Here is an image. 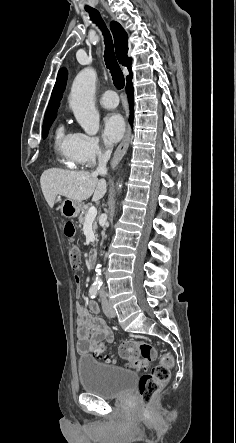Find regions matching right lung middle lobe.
Wrapping results in <instances>:
<instances>
[{"mask_svg": "<svg viewBox=\"0 0 236 443\" xmlns=\"http://www.w3.org/2000/svg\"><path fill=\"white\" fill-rule=\"evenodd\" d=\"M54 119H55V118L50 119V120H48V121H45V122L43 123V129H42V135H43V138H46V137H47V135H48V130H49L50 126L52 125Z\"/></svg>", "mask_w": 236, "mask_h": 443, "instance_id": "obj_1", "label": "right lung middle lobe"}]
</instances>
